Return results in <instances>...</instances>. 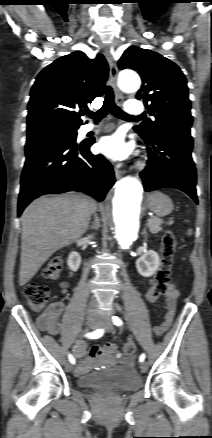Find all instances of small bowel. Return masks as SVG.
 Listing matches in <instances>:
<instances>
[{
  "mask_svg": "<svg viewBox=\"0 0 212 438\" xmlns=\"http://www.w3.org/2000/svg\"><path fill=\"white\" fill-rule=\"evenodd\" d=\"M154 283L153 280L150 281ZM66 283L61 284L62 291H66ZM179 298V292L173 284H169L168 290L165 294V313L163 316V321L154 328V332L157 335L165 333L170 327L175 311L177 300ZM64 306L61 302L52 303L45 312L39 317L38 323L40 327L47 331L51 335H56L60 330V316L62 315ZM86 343L84 341H79L75 351L77 358H83L86 354ZM102 354H114L119 356L117 352V346L113 343H108L105 346H93L89 351L90 359L83 361L75 370L76 375H83L90 371L92 366L91 359L99 357Z\"/></svg>",
  "mask_w": 212,
  "mask_h": 438,
  "instance_id": "1",
  "label": "small bowel"
}]
</instances>
